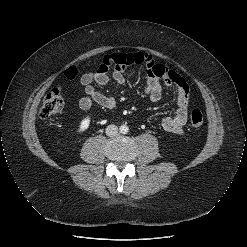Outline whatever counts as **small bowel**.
I'll use <instances>...</instances> for the list:
<instances>
[{
    "mask_svg": "<svg viewBox=\"0 0 247 247\" xmlns=\"http://www.w3.org/2000/svg\"><path fill=\"white\" fill-rule=\"evenodd\" d=\"M133 65H143L146 68L144 90L152 103H156L161 99V81L167 87L175 88L177 109L174 114L161 120V126L165 131L183 134L189 108L188 85L177 72L155 63L152 56L147 53H113L106 55L96 71L85 73L80 78L85 91V96L79 100L80 108L88 110L94 103H97L106 109H114L116 100L97 91L93 84L120 87L125 83V70Z\"/></svg>",
    "mask_w": 247,
    "mask_h": 247,
    "instance_id": "obj_1",
    "label": "small bowel"
}]
</instances>
